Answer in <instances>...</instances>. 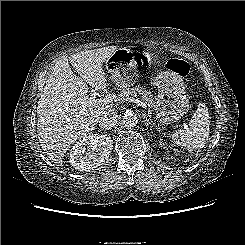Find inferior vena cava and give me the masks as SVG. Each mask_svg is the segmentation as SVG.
<instances>
[{"mask_svg": "<svg viewBox=\"0 0 245 245\" xmlns=\"http://www.w3.org/2000/svg\"><path fill=\"white\" fill-rule=\"evenodd\" d=\"M118 123V115L115 112L107 113L99 120V126L104 129H111Z\"/></svg>", "mask_w": 245, "mask_h": 245, "instance_id": "obj_1", "label": "inferior vena cava"}]
</instances>
